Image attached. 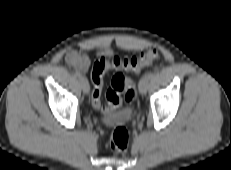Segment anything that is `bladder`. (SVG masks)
I'll list each match as a JSON object with an SVG mask.
<instances>
[{
    "label": "bladder",
    "instance_id": "1",
    "mask_svg": "<svg viewBox=\"0 0 231 170\" xmlns=\"http://www.w3.org/2000/svg\"><path fill=\"white\" fill-rule=\"evenodd\" d=\"M132 110L123 109L115 111L103 119L105 125H124L128 123L132 117Z\"/></svg>",
    "mask_w": 231,
    "mask_h": 170
}]
</instances>
